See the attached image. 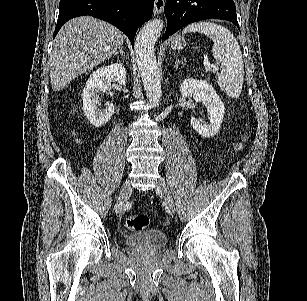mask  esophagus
<instances>
[{
    "instance_id": "esophagus-1",
    "label": "esophagus",
    "mask_w": 307,
    "mask_h": 301,
    "mask_svg": "<svg viewBox=\"0 0 307 301\" xmlns=\"http://www.w3.org/2000/svg\"><path fill=\"white\" fill-rule=\"evenodd\" d=\"M165 6V0H155L154 3V15H159L163 12Z\"/></svg>"
}]
</instances>
